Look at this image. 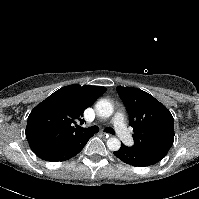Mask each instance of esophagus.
Wrapping results in <instances>:
<instances>
[{"label":"esophagus","instance_id":"esophagus-1","mask_svg":"<svg viewBox=\"0 0 199 199\" xmlns=\"http://www.w3.org/2000/svg\"><path fill=\"white\" fill-rule=\"evenodd\" d=\"M102 135L105 137V138H109L111 135L108 134V133H102Z\"/></svg>","mask_w":199,"mask_h":199}]
</instances>
